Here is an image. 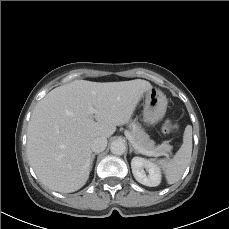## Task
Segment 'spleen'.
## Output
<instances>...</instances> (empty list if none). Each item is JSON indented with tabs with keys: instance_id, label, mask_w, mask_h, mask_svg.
Segmentation results:
<instances>
[{
	"instance_id": "3e777b00",
	"label": "spleen",
	"mask_w": 229,
	"mask_h": 229,
	"mask_svg": "<svg viewBox=\"0 0 229 229\" xmlns=\"http://www.w3.org/2000/svg\"><path fill=\"white\" fill-rule=\"evenodd\" d=\"M192 154V128L187 126L183 135V144L171 160L159 159L155 162L165 174L168 184H174L180 180L190 163Z\"/></svg>"
}]
</instances>
